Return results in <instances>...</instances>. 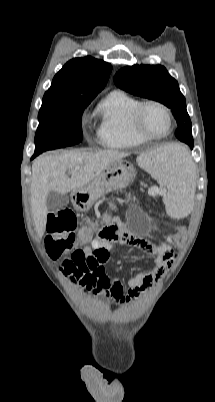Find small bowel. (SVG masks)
Masks as SVG:
<instances>
[{
  "instance_id": "small-bowel-1",
  "label": "small bowel",
  "mask_w": 215,
  "mask_h": 402,
  "mask_svg": "<svg viewBox=\"0 0 215 402\" xmlns=\"http://www.w3.org/2000/svg\"><path fill=\"white\" fill-rule=\"evenodd\" d=\"M133 246L144 250L154 257L158 267L151 272H137L128 280L129 288L124 292L122 281L109 277L105 264L111 260L113 243ZM81 262L63 264L62 269L68 281L78 287L85 296L103 294L104 297L121 305H129L138 299L164 274V264L172 259V250L164 243H154L127 230L121 223L103 227L92 239L90 246L80 249Z\"/></svg>"
}]
</instances>
